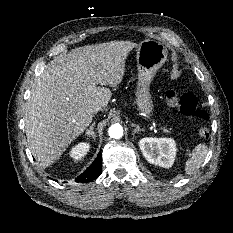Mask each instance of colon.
<instances>
[{"label": "colon", "instance_id": "5ec220e1", "mask_svg": "<svg viewBox=\"0 0 233 233\" xmlns=\"http://www.w3.org/2000/svg\"><path fill=\"white\" fill-rule=\"evenodd\" d=\"M166 103L178 109L183 115L198 122L196 132L201 137H208L210 130L207 125L208 114L198 107L196 97L191 93L178 94L175 90H168L165 93Z\"/></svg>", "mask_w": 233, "mask_h": 233}]
</instances>
